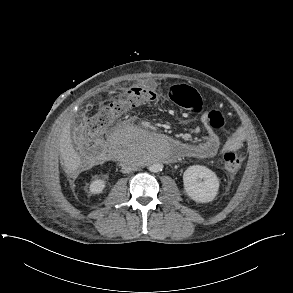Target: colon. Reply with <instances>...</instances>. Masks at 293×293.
Segmentation results:
<instances>
[{"instance_id":"1","label":"colon","mask_w":293,"mask_h":293,"mask_svg":"<svg viewBox=\"0 0 293 293\" xmlns=\"http://www.w3.org/2000/svg\"><path fill=\"white\" fill-rule=\"evenodd\" d=\"M171 97L179 106L191 112H200L203 102L199 93L192 87L177 85L171 90ZM154 93L148 88L135 86L126 93L101 106L95 114L86 121V132L88 136L94 137L101 134L110 124L131 109L146 105L153 101ZM206 121L210 128L221 130L226 122L225 115L220 110H210L206 113ZM224 167L229 172H235L241 165V157L234 151H226L223 155Z\"/></svg>"}]
</instances>
